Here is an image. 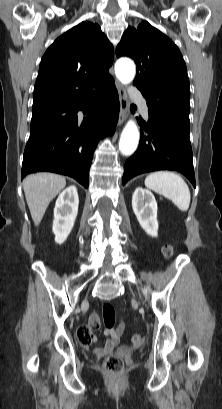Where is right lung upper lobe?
<instances>
[{"label":"right lung upper lobe","instance_id":"1","mask_svg":"<svg viewBox=\"0 0 222 409\" xmlns=\"http://www.w3.org/2000/svg\"><path fill=\"white\" fill-rule=\"evenodd\" d=\"M113 45L98 24L81 22L45 52L34 87L33 110L77 99L111 75Z\"/></svg>","mask_w":222,"mask_h":409}]
</instances>
